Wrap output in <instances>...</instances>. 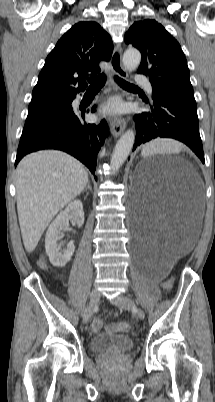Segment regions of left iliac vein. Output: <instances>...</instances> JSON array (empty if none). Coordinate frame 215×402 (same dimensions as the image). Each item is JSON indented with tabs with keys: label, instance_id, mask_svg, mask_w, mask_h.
Wrapping results in <instances>:
<instances>
[{
	"label": "left iliac vein",
	"instance_id": "1",
	"mask_svg": "<svg viewBox=\"0 0 215 402\" xmlns=\"http://www.w3.org/2000/svg\"><path fill=\"white\" fill-rule=\"evenodd\" d=\"M112 303L119 308L129 310L132 308V301L129 297L125 295H118L115 298L112 299ZM136 314L139 319L143 320L145 318V313L142 309L138 308L136 309Z\"/></svg>",
	"mask_w": 215,
	"mask_h": 402
}]
</instances>
